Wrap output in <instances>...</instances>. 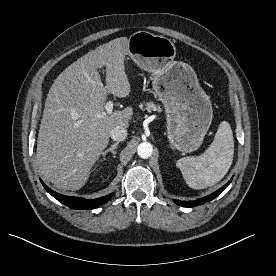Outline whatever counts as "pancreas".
Returning <instances> with one entry per match:
<instances>
[{"mask_svg": "<svg viewBox=\"0 0 276 276\" xmlns=\"http://www.w3.org/2000/svg\"><path fill=\"white\" fill-rule=\"evenodd\" d=\"M140 108L143 110H147L148 112H151V111L161 112L162 111V108L160 107V105H156L153 102H148L145 104V107L141 106Z\"/></svg>", "mask_w": 276, "mask_h": 276, "instance_id": "1", "label": "pancreas"}]
</instances>
